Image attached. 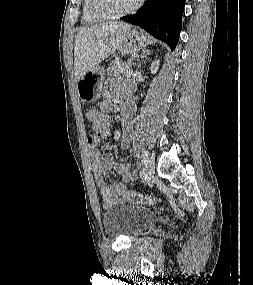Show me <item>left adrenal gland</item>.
Returning <instances> with one entry per match:
<instances>
[{
    "label": "left adrenal gland",
    "instance_id": "left-adrenal-gland-1",
    "mask_svg": "<svg viewBox=\"0 0 253 285\" xmlns=\"http://www.w3.org/2000/svg\"><path fill=\"white\" fill-rule=\"evenodd\" d=\"M151 53L150 50H144L142 52V55L140 56V58L138 59V62H137V69L140 68V59H143L144 57H146L147 55H149Z\"/></svg>",
    "mask_w": 253,
    "mask_h": 285
}]
</instances>
